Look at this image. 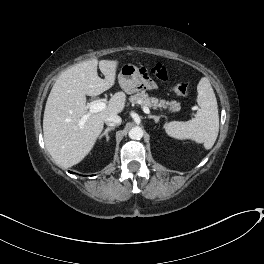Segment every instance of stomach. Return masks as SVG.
Returning a JSON list of instances; mask_svg holds the SVG:
<instances>
[{"label":"stomach","mask_w":264,"mask_h":264,"mask_svg":"<svg viewBox=\"0 0 264 264\" xmlns=\"http://www.w3.org/2000/svg\"><path fill=\"white\" fill-rule=\"evenodd\" d=\"M118 82L125 92L132 94L139 90L143 82V75L135 65L124 64L119 72Z\"/></svg>","instance_id":"0dacf381"}]
</instances>
